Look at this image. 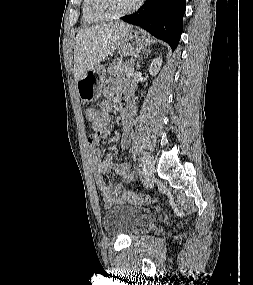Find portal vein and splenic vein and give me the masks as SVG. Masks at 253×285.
Here are the masks:
<instances>
[{
  "mask_svg": "<svg viewBox=\"0 0 253 285\" xmlns=\"http://www.w3.org/2000/svg\"><path fill=\"white\" fill-rule=\"evenodd\" d=\"M134 73V68H131L128 72H127V77H131Z\"/></svg>",
  "mask_w": 253,
  "mask_h": 285,
  "instance_id": "portal-vein-and-splenic-vein-1",
  "label": "portal vein and splenic vein"
}]
</instances>
